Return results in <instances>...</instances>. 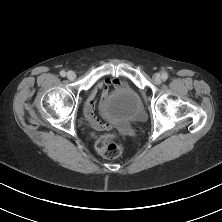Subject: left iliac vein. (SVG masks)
Masks as SVG:
<instances>
[{
  "instance_id": "obj_1",
  "label": "left iliac vein",
  "mask_w": 222,
  "mask_h": 222,
  "mask_svg": "<svg viewBox=\"0 0 222 222\" xmlns=\"http://www.w3.org/2000/svg\"><path fill=\"white\" fill-rule=\"evenodd\" d=\"M154 80L157 82V83H160L162 81V77L159 73H156L154 75Z\"/></svg>"
}]
</instances>
